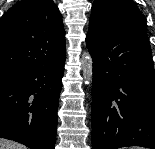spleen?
Here are the masks:
<instances>
[{
	"instance_id": "3e777b00",
	"label": "spleen",
	"mask_w": 155,
	"mask_h": 149,
	"mask_svg": "<svg viewBox=\"0 0 155 149\" xmlns=\"http://www.w3.org/2000/svg\"><path fill=\"white\" fill-rule=\"evenodd\" d=\"M129 149H144V148H141V147H132V148H129Z\"/></svg>"
}]
</instances>
